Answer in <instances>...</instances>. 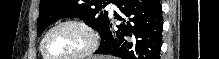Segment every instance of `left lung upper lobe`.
Masks as SVG:
<instances>
[{
	"instance_id": "left-lung-upper-lobe-1",
	"label": "left lung upper lobe",
	"mask_w": 219,
	"mask_h": 59,
	"mask_svg": "<svg viewBox=\"0 0 219 59\" xmlns=\"http://www.w3.org/2000/svg\"><path fill=\"white\" fill-rule=\"evenodd\" d=\"M114 0H41L37 23L39 36L52 22L64 17H79L100 34L109 21L102 9Z\"/></svg>"
}]
</instances>
